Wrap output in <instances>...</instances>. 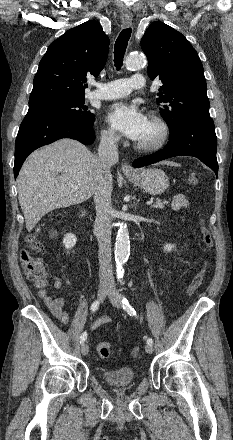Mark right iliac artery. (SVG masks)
<instances>
[{
    "label": "right iliac artery",
    "instance_id": "82829eb1",
    "mask_svg": "<svg viewBox=\"0 0 233 440\" xmlns=\"http://www.w3.org/2000/svg\"><path fill=\"white\" fill-rule=\"evenodd\" d=\"M99 307V301H95L93 302V304L91 305V311L95 312ZM87 339V332H83V334L81 335V341L80 343L83 344Z\"/></svg>",
    "mask_w": 233,
    "mask_h": 440
}]
</instances>
